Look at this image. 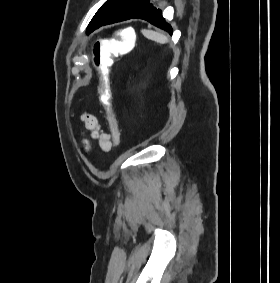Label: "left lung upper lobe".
<instances>
[{"label": "left lung upper lobe", "mask_w": 280, "mask_h": 283, "mask_svg": "<svg viewBox=\"0 0 280 283\" xmlns=\"http://www.w3.org/2000/svg\"><path fill=\"white\" fill-rule=\"evenodd\" d=\"M146 2L147 0H107L92 18L87 33L93 32L106 20L133 15Z\"/></svg>", "instance_id": "obj_1"}]
</instances>
